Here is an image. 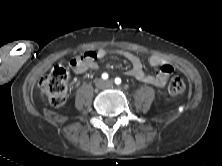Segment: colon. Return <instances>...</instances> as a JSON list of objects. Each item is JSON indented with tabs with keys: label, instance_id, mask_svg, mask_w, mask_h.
<instances>
[{
	"label": "colon",
	"instance_id": "colon-1",
	"mask_svg": "<svg viewBox=\"0 0 222 166\" xmlns=\"http://www.w3.org/2000/svg\"><path fill=\"white\" fill-rule=\"evenodd\" d=\"M69 73L67 68L56 66L47 76L39 82L40 91L47 96L53 106H61L67 100ZM169 93L180 96L186 90L185 82L178 77L171 79L168 86Z\"/></svg>",
	"mask_w": 222,
	"mask_h": 166
}]
</instances>
